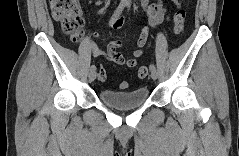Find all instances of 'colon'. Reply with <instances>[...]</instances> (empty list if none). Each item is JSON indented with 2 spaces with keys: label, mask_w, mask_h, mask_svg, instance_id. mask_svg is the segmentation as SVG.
<instances>
[{
  "label": "colon",
  "mask_w": 239,
  "mask_h": 156,
  "mask_svg": "<svg viewBox=\"0 0 239 156\" xmlns=\"http://www.w3.org/2000/svg\"><path fill=\"white\" fill-rule=\"evenodd\" d=\"M51 10L55 20L60 24L61 30L70 37L72 41H79L83 36V10L76 0H52ZM186 18V11L183 2L179 3L174 16V29L180 33L183 29ZM138 77L144 79L148 76L149 71L146 66L138 69ZM98 78L104 81L107 78V71L101 67L98 72ZM120 89L128 88V82L122 81L119 84Z\"/></svg>",
  "instance_id": "1"
}]
</instances>
